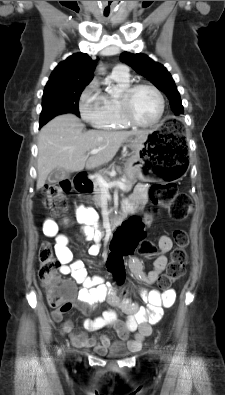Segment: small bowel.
Segmentation results:
<instances>
[{
  "instance_id": "c3829d8e",
  "label": "small bowel",
  "mask_w": 225,
  "mask_h": 395,
  "mask_svg": "<svg viewBox=\"0 0 225 395\" xmlns=\"http://www.w3.org/2000/svg\"><path fill=\"white\" fill-rule=\"evenodd\" d=\"M147 185L138 184L130 197L123 204L124 211L134 214L141 206L147 202ZM76 219L83 225L84 232L88 240L93 244L89 248V254L96 256L100 252L101 234L97 232V213L84 206L76 208ZM144 224L151 223V218L146 217ZM44 235L55 239V251L60 262V272L70 275L72 280L81 287L75 298L69 301L70 307L75 306L83 313H87L89 308L97 303L107 301L111 306L100 316L84 321V329L90 333H96L105 327H113L121 340L127 341L131 350H138L142 346L143 340L150 335L151 325L157 323L164 308L171 307L176 298V294L171 289L162 292L158 290L147 291L142 288L140 295L147 307H140L135 303L122 299L116 292L114 285L105 282L101 276L90 277L87 275L84 264L80 260H74L71 250L68 247V238L59 231L58 223L53 219H46L42 226ZM159 255L153 263L152 270L146 272L140 259L132 257L128 265L133 275L143 285H151L157 281L160 274L164 271L168 258L167 254L171 251L173 243L170 237L163 235L158 240ZM55 309L52 317L55 321H61L63 314L68 311ZM117 309L125 314L126 319H118ZM62 329L71 335L72 343L77 347L94 348L96 352L103 353L112 345L111 339L106 335L97 337L86 333H74L73 323L70 320L63 322ZM135 332L134 337L129 340V334Z\"/></svg>"
}]
</instances>
